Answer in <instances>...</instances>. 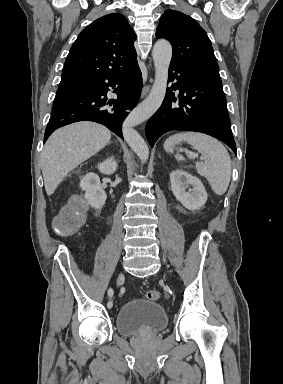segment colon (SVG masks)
Instances as JSON below:
<instances>
[{
  "label": "colon",
  "mask_w": 283,
  "mask_h": 384,
  "mask_svg": "<svg viewBox=\"0 0 283 384\" xmlns=\"http://www.w3.org/2000/svg\"><path fill=\"white\" fill-rule=\"evenodd\" d=\"M84 205L75 201L66 206L55 219L54 226L58 233L69 235L73 234L83 223ZM149 300L156 301L160 299L161 294L157 290H149L145 293Z\"/></svg>",
  "instance_id": "5ec220e1"
}]
</instances>
